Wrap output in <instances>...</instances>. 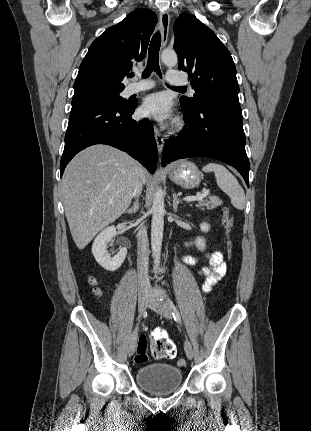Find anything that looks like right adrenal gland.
<instances>
[{"label":"right adrenal gland","mask_w":311,"mask_h":431,"mask_svg":"<svg viewBox=\"0 0 311 431\" xmlns=\"http://www.w3.org/2000/svg\"><path fill=\"white\" fill-rule=\"evenodd\" d=\"M138 210H139V204H138V198H137L133 208H129V210H127V212H124V214H136Z\"/></svg>","instance_id":"2a0ac1e0"}]
</instances>
